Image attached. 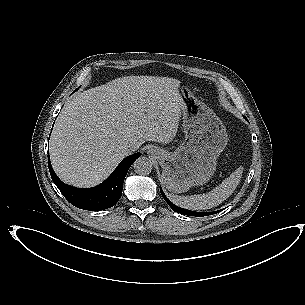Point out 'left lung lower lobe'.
I'll use <instances>...</instances> for the list:
<instances>
[{
	"instance_id": "0a47b994",
	"label": "left lung lower lobe",
	"mask_w": 305,
	"mask_h": 305,
	"mask_svg": "<svg viewBox=\"0 0 305 305\" xmlns=\"http://www.w3.org/2000/svg\"><path fill=\"white\" fill-rule=\"evenodd\" d=\"M160 192H161V194H162L164 200L168 203V205L172 208V210L176 211V209H177L178 206L174 205L173 203H171V202L168 200V198L165 196V194H164V192L162 191V189H160ZM218 212H219V211L208 212V213H201V212H200L201 215L198 216V217L213 215V214H216V213H218Z\"/></svg>"
}]
</instances>
